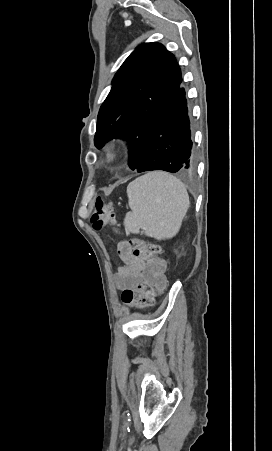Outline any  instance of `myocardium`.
<instances>
[{"label":"myocardium","instance_id":"f54148a6","mask_svg":"<svg viewBox=\"0 0 272 451\" xmlns=\"http://www.w3.org/2000/svg\"><path fill=\"white\" fill-rule=\"evenodd\" d=\"M104 159L106 163L114 165L120 161L121 154L113 148H107L105 150Z\"/></svg>","mask_w":272,"mask_h":451}]
</instances>
